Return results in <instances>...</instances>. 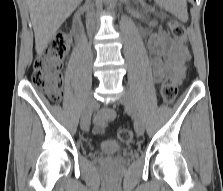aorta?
<instances>
[{
    "label": "aorta",
    "instance_id": "762f6f07",
    "mask_svg": "<svg viewBox=\"0 0 223 191\" xmlns=\"http://www.w3.org/2000/svg\"><path fill=\"white\" fill-rule=\"evenodd\" d=\"M116 1H117V0H107L109 6H111V7H112L113 5H115Z\"/></svg>",
    "mask_w": 223,
    "mask_h": 191
}]
</instances>
